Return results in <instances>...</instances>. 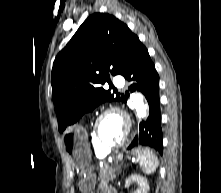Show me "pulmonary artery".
Masks as SVG:
<instances>
[{
    "label": "pulmonary artery",
    "mask_w": 221,
    "mask_h": 193,
    "mask_svg": "<svg viewBox=\"0 0 221 193\" xmlns=\"http://www.w3.org/2000/svg\"><path fill=\"white\" fill-rule=\"evenodd\" d=\"M116 87L121 88L124 85V78L120 75L114 77L113 80Z\"/></svg>",
    "instance_id": "obj_1"
}]
</instances>
